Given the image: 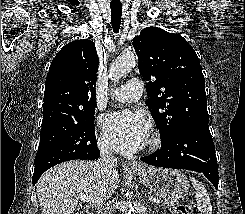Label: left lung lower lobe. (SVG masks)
Segmentation results:
<instances>
[{
  "mask_svg": "<svg viewBox=\"0 0 245 214\" xmlns=\"http://www.w3.org/2000/svg\"><path fill=\"white\" fill-rule=\"evenodd\" d=\"M141 160L149 165L203 173L218 188V167L214 142L208 124L184 129L161 149Z\"/></svg>",
  "mask_w": 245,
  "mask_h": 214,
  "instance_id": "obj_1",
  "label": "left lung lower lobe"
}]
</instances>
